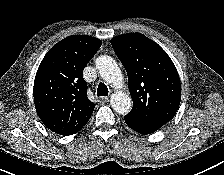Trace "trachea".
<instances>
[{
	"instance_id": "1",
	"label": "trachea",
	"mask_w": 224,
	"mask_h": 175,
	"mask_svg": "<svg viewBox=\"0 0 224 175\" xmlns=\"http://www.w3.org/2000/svg\"><path fill=\"white\" fill-rule=\"evenodd\" d=\"M108 88L104 83H99L97 88V96H107Z\"/></svg>"
}]
</instances>
